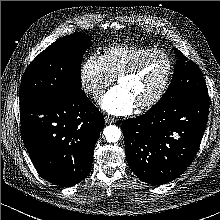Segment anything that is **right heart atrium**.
<instances>
[{
    "mask_svg": "<svg viewBox=\"0 0 220 220\" xmlns=\"http://www.w3.org/2000/svg\"><path fill=\"white\" fill-rule=\"evenodd\" d=\"M79 76L82 90L94 99L100 98L113 81L101 57L96 55H90L83 61Z\"/></svg>",
    "mask_w": 220,
    "mask_h": 220,
    "instance_id": "d8ad5b80",
    "label": "right heart atrium"
}]
</instances>
